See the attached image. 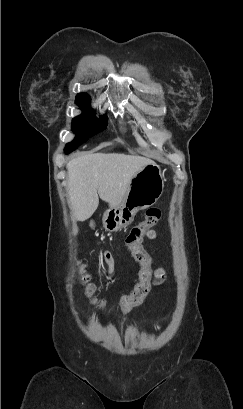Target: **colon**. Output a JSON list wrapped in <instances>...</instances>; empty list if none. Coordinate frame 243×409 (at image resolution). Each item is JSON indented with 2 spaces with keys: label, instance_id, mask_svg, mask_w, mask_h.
I'll return each instance as SVG.
<instances>
[{
  "label": "colon",
  "instance_id": "obj_1",
  "mask_svg": "<svg viewBox=\"0 0 243 409\" xmlns=\"http://www.w3.org/2000/svg\"><path fill=\"white\" fill-rule=\"evenodd\" d=\"M161 217V210L157 207L149 208L146 211L144 221L133 227L125 238V245L134 257L142 259L144 257L142 249L143 234L150 228L155 226ZM78 277L84 287L85 294L91 296L94 292V285L90 281V275L86 266L83 263L78 264ZM147 289L144 286H136L134 291L129 295L124 296L119 306L121 309H128L134 305L140 304L147 295ZM101 307L104 302H100Z\"/></svg>",
  "mask_w": 243,
  "mask_h": 409
}]
</instances>
